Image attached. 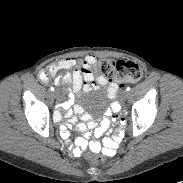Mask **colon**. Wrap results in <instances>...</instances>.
Masks as SVG:
<instances>
[{
	"mask_svg": "<svg viewBox=\"0 0 183 183\" xmlns=\"http://www.w3.org/2000/svg\"><path fill=\"white\" fill-rule=\"evenodd\" d=\"M97 69L104 78L115 81L119 87L124 86L125 83L137 82L143 76L142 67L130 60L101 59L97 63ZM54 75L53 71L46 69L43 70L40 78L51 79ZM85 157L96 164L104 162L101 156L91 152H86Z\"/></svg>",
	"mask_w": 183,
	"mask_h": 183,
	"instance_id": "obj_1",
	"label": "colon"
}]
</instances>
